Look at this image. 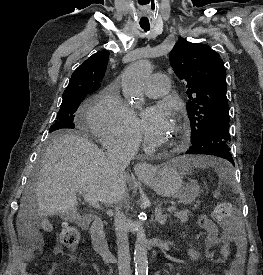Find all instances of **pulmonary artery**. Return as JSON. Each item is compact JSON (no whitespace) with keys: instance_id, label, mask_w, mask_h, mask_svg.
Listing matches in <instances>:
<instances>
[{"instance_id":"pulmonary-artery-1","label":"pulmonary artery","mask_w":263,"mask_h":275,"mask_svg":"<svg viewBox=\"0 0 263 275\" xmlns=\"http://www.w3.org/2000/svg\"><path fill=\"white\" fill-rule=\"evenodd\" d=\"M149 98H159L169 92V80L164 74H153L147 80L144 88Z\"/></svg>"}]
</instances>
